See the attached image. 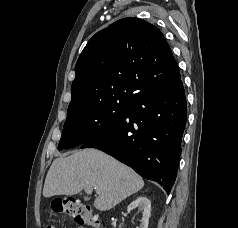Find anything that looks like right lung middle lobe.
Masks as SVG:
<instances>
[{
	"mask_svg": "<svg viewBox=\"0 0 238 228\" xmlns=\"http://www.w3.org/2000/svg\"><path fill=\"white\" fill-rule=\"evenodd\" d=\"M127 102H102L67 114L58 149L82 145L118 122Z\"/></svg>",
	"mask_w": 238,
	"mask_h": 228,
	"instance_id": "1",
	"label": "right lung middle lobe"
}]
</instances>
